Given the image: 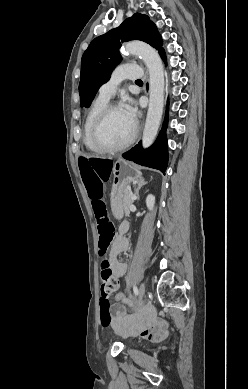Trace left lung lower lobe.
I'll return each mask as SVG.
<instances>
[{"label":"left lung lower lobe","mask_w":248,"mask_h":389,"mask_svg":"<svg viewBox=\"0 0 248 389\" xmlns=\"http://www.w3.org/2000/svg\"><path fill=\"white\" fill-rule=\"evenodd\" d=\"M159 54L166 63L164 49L159 51ZM167 121L168 111H166L162 130L160 131L155 143L150 148L144 150L140 141L134 148L124 153L122 155L123 158L133 161L139 165L160 170L163 174H165V170L168 164V145L166 138Z\"/></svg>","instance_id":"1"}]
</instances>
